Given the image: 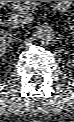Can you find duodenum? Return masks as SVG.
Wrapping results in <instances>:
<instances>
[{
    "mask_svg": "<svg viewBox=\"0 0 74 122\" xmlns=\"http://www.w3.org/2000/svg\"><path fill=\"white\" fill-rule=\"evenodd\" d=\"M4 3H9V2H11V1H3Z\"/></svg>",
    "mask_w": 74,
    "mask_h": 122,
    "instance_id": "1",
    "label": "duodenum"
}]
</instances>
